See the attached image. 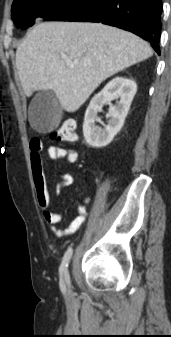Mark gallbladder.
Segmentation results:
<instances>
[{
  "label": "gallbladder",
  "mask_w": 171,
  "mask_h": 337,
  "mask_svg": "<svg viewBox=\"0 0 171 337\" xmlns=\"http://www.w3.org/2000/svg\"><path fill=\"white\" fill-rule=\"evenodd\" d=\"M28 113L34 129L49 132L58 126L62 117V107L53 91L42 90L31 101Z\"/></svg>",
  "instance_id": "1"
}]
</instances>
